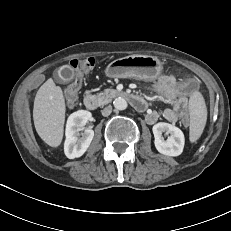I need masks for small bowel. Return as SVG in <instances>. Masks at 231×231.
<instances>
[{
  "mask_svg": "<svg viewBox=\"0 0 231 231\" xmlns=\"http://www.w3.org/2000/svg\"><path fill=\"white\" fill-rule=\"evenodd\" d=\"M158 98L170 105L161 114L155 110H147L146 122L156 123L160 116L169 123H176L187 117L189 100L182 91V84L172 76H162L155 85Z\"/></svg>",
  "mask_w": 231,
  "mask_h": 231,
  "instance_id": "small-bowel-1",
  "label": "small bowel"
}]
</instances>
